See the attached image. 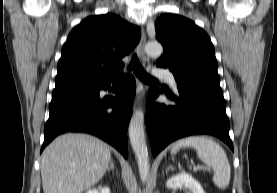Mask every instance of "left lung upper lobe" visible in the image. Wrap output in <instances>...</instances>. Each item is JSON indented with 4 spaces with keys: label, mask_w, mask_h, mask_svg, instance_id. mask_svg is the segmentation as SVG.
<instances>
[{
    "label": "left lung upper lobe",
    "mask_w": 277,
    "mask_h": 193,
    "mask_svg": "<svg viewBox=\"0 0 277 193\" xmlns=\"http://www.w3.org/2000/svg\"><path fill=\"white\" fill-rule=\"evenodd\" d=\"M156 38L163 55L156 65L169 68L177 85L198 81L219 82L218 63L209 36L193 21L176 14H164L155 23Z\"/></svg>",
    "instance_id": "1"
}]
</instances>
